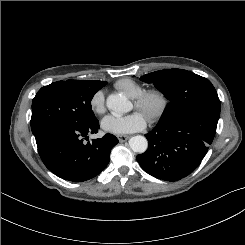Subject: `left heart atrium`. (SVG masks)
<instances>
[{
	"label": "left heart atrium",
	"mask_w": 245,
	"mask_h": 245,
	"mask_svg": "<svg viewBox=\"0 0 245 245\" xmlns=\"http://www.w3.org/2000/svg\"><path fill=\"white\" fill-rule=\"evenodd\" d=\"M146 120L140 112L125 116L108 115L101 122L102 129L110 134L123 135L144 129Z\"/></svg>",
	"instance_id": "1"
}]
</instances>
